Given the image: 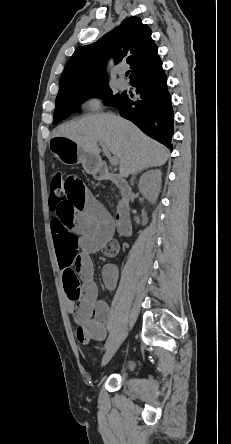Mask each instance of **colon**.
<instances>
[{
    "mask_svg": "<svg viewBox=\"0 0 231 444\" xmlns=\"http://www.w3.org/2000/svg\"><path fill=\"white\" fill-rule=\"evenodd\" d=\"M66 178L61 170H56L52 175L51 197L60 200L66 196Z\"/></svg>",
    "mask_w": 231,
    "mask_h": 444,
    "instance_id": "1",
    "label": "colon"
}]
</instances>
